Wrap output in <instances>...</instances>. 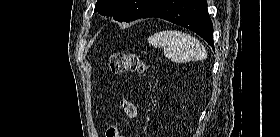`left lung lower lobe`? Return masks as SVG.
Returning a JSON list of instances; mask_svg holds the SVG:
<instances>
[{
  "instance_id": "1",
  "label": "left lung lower lobe",
  "mask_w": 280,
  "mask_h": 137,
  "mask_svg": "<svg viewBox=\"0 0 280 137\" xmlns=\"http://www.w3.org/2000/svg\"><path fill=\"white\" fill-rule=\"evenodd\" d=\"M148 17L162 18L190 29L214 48L213 24L206 0H160L140 18Z\"/></svg>"
}]
</instances>
